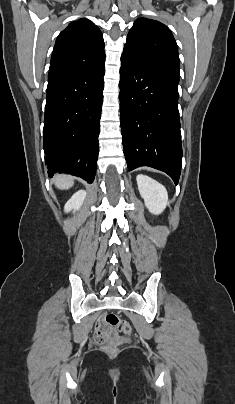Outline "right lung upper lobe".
<instances>
[{
	"mask_svg": "<svg viewBox=\"0 0 235 404\" xmlns=\"http://www.w3.org/2000/svg\"><path fill=\"white\" fill-rule=\"evenodd\" d=\"M105 60L104 41L100 29L88 19L68 25L57 37L49 72Z\"/></svg>",
	"mask_w": 235,
	"mask_h": 404,
	"instance_id": "right-lung-upper-lobe-1",
	"label": "right lung upper lobe"
}]
</instances>
